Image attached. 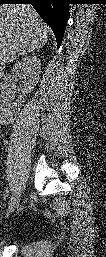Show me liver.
<instances>
[{"label":"liver","instance_id":"liver-1","mask_svg":"<svg viewBox=\"0 0 106 257\" xmlns=\"http://www.w3.org/2000/svg\"><path fill=\"white\" fill-rule=\"evenodd\" d=\"M49 27L29 4L0 7V63L39 50L48 40Z\"/></svg>","mask_w":106,"mask_h":257}]
</instances>
